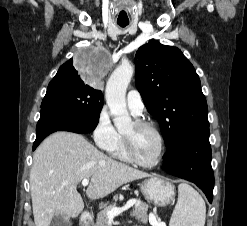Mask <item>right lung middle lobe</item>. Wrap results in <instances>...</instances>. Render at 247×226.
Wrapping results in <instances>:
<instances>
[{
    "instance_id": "dd1d6c3e",
    "label": "right lung middle lobe",
    "mask_w": 247,
    "mask_h": 226,
    "mask_svg": "<svg viewBox=\"0 0 247 226\" xmlns=\"http://www.w3.org/2000/svg\"><path fill=\"white\" fill-rule=\"evenodd\" d=\"M102 107V92L92 86H85L81 78H77L73 67L57 73L50 81L41 104V111L54 108L98 123Z\"/></svg>"
}]
</instances>
